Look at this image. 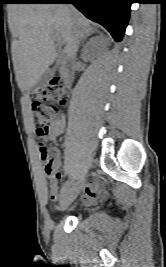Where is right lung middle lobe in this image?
Segmentation results:
<instances>
[{"label": "right lung middle lobe", "mask_w": 166, "mask_h": 267, "mask_svg": "<svg viewBox=\"0 0 166 267\" xmlns=\"http://www.w3.org/2000/svg\"><path fill=\"white\" fill-rule=\"evenodd\" d=\"M17 1L21 2V1H23V0H17Z\"/></svg>", "instance_id": "obj_1"}]
</instances>
